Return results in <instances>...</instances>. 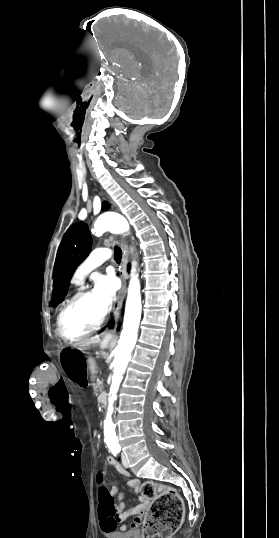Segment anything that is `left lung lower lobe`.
I'll use <instances>...</instances> for the list:
<instances>
[{
	"mask_svg": "<svg viewBox=\"0 0 279 538\" xmlns=\"http://www.w3.org/2000/svg\"><path fill=\"white\" fill-rule=\"evenodd\" d=\"M112 325H113V323H112V322H110V323H109V326L111 327ZM103 330H104V328H103V329H102L101 331H103Z\"/></svg>",
	"mask_w": 279,
	"mask_h": 538,
	"instance_id": "0a47b994",
	"label": "left lung lower lobe"
}]
</instances>
